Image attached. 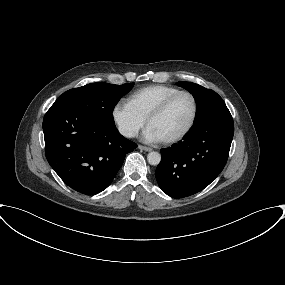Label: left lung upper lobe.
<instances>
[{
  "instance_id": "5c2ea615",
  "label": "left lung upper lobe",
  "mask_w": 285,
  "mask_h": 285,
  "mask_svg": "<svg viewBox=\"0 0 285 285\" xmlns=\"http://www.w3.org/2000/svg\"><path fill=\"white\" fill-rule=\"evenodd\" d=\"M178 86L188 90L197 103L194 124L191 130L217 122H233L232 116L222 98L213 90L192 82H178Z\"/></svg>"
}]
</instances>
